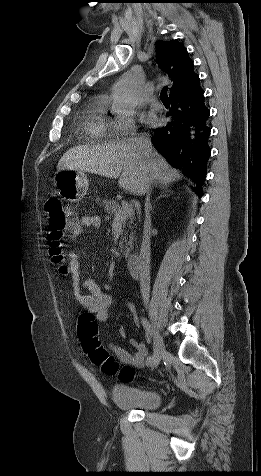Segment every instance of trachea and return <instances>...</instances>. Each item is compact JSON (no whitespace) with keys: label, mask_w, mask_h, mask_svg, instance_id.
Returning a JSON list of instances; mask_svg holds the SVG:
<instances>
[{"label":"trachea","mask_w":261,"mask_h":476,"mask_svg":"<svg viewBox=\"0 0 261 476\" xmlns=\"http://www.w3.org/2000/svg\"><path fill=\"white\" fill-rule=\"evenodd\" d=\"M168 88L165 87L162 89L161 93H160V99L165 102V101H169V98H168Z\"/></svg>","instance_id":"trachea-1"}]
</instances>
